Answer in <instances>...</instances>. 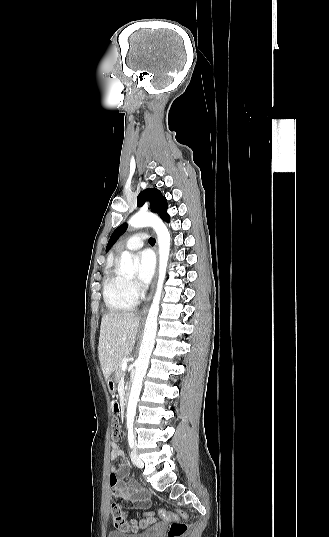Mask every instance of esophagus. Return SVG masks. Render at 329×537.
<instances>
[{
	"label": "esophagus",
	"mask_w": 329,
	"mask_h": 537,
	"mask_svg": "<svg viewBox=\"0 0 329 537\" xmlns=\"http://www.w3.org/2000/svg\"><path fill=\"white\" fill-rule=\"evenodd\" d=\"M155 249H156V253H157V246H156ZM156 277H157V272H156V274H155L154 281H153L152 286H151V291H150V294H149V296H148L147 303H146V305L144 306V308H143L141 314H146V312H147V310H148V306H149L150 300H151L152 295H153V292H154V287H155Z\"/></svg>",
	"instance_id": "34e87169"
}]
</instances>
